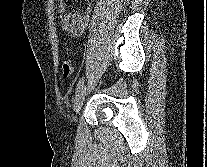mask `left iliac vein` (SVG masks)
<instances>
[{"mask_svg":"<svg viewBox=\"0 0 207 167\" xmlns=\"http://www.w3.org/2000/svg\"><path fill=\"white\" fill-rule=\"evenodd\" d=\"M87 88L85 85L82 86L78 94L76 95L75 102H74V111L78 113L83 105L85 96H86Z\"/></svg>","mask_w":207,"mask_h":167,"instance_id":"1","label":"left iliac vein"}]
</instances>
